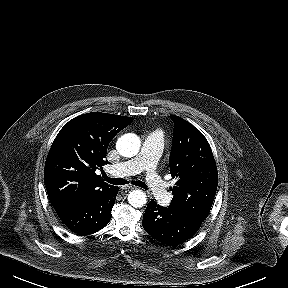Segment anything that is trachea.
<instances>
[{"label": "trachea", "instance_id": "trachea-1", "mask_svg": "<svg viewBox=\"0 0 288 288\" xmlns=\"http://www.w3.org/2000/svg\"><path fill=\"white\" fill-rule=\"evenodd\" d=\"M103 178L105 181H107L108 183L110 184H113V185H124V184H127V181L123 178H110L108 177L106 174H103ZM133 185L135 186H139L143 189H147V186L144 182L142 181H134L132 182Z\"/></svg>", "mask_w": 288, "mask_h": 288}]
</instances>
